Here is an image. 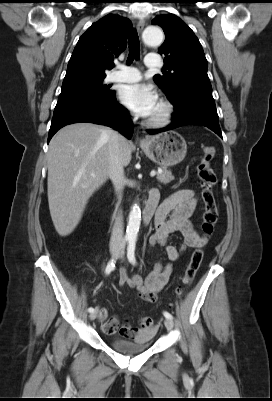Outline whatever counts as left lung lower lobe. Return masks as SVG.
<instances>
[{
    "label": "left lung lower lobe",
    "instance_id": "1",
    "mask_svg": "<svg viewBox=\"0 0 272 401\" xmlns=\"http://www.w3.org/2000/svg\"><path fill=\"white\" fill-rule=\"evenodd\" d=\"M172 123L158 130H148L149 134L171 130L183 125H202L210 128L222 138L219 126V118L213 97L207 96H186L173 104Z\"/></svg>",
    "mask_w": 272,
    "mask_h": 401
}]
</instances>
